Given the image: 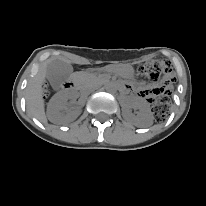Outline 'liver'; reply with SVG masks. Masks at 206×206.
I'll return each instance as SVG.
<instances>
[{
	"instance_id": "liver-1",
	"label": "liver",
	"mask_w": 206,
	"mask_h": 206,
	"mask_svg": "<svg viewBox=\"0 0 206 206\" xmlns=\"http://www.w3.org/2000/svg\"><path fill=\"white\" fill-rule=\"evenodd\" d=\"M55 60H61L66 63H70L65 58H51L44 62L36 75L29 81L26 88V107L30 115L36 117L40 122L46 123L47 117L45 114V103L43 98L44 88L42 85L47 78V67ZM78 112H72L68 110L60 111V113L55 114L54 118L50 121L55 124H68L78 117Z\"/></svg>"
}]
</instances>
